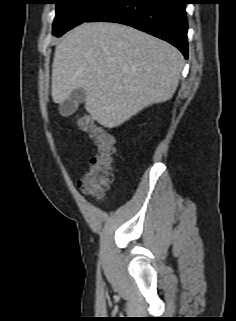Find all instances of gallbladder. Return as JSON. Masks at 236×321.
Instances as JSON below:
<instances>
[{
    "label": "gallbladder",
    "mask_w": 236,
    "mask_h": 321,
    "mask_svg": "<svg viewBox=\"0 0 236 321\" xmlns=\"http://www.w3.org/2000/svg\"><path fill=\"white\" fill-rule=\"evenodd\" d=\"M86 100V93L82 88L76 89L71 92L69 97L60 104L59 112L62 116L68 117L75 113L79 104L84 103Z\"/></svg>",
    "instance_id": "bac80fb5"
}]
</instances>
